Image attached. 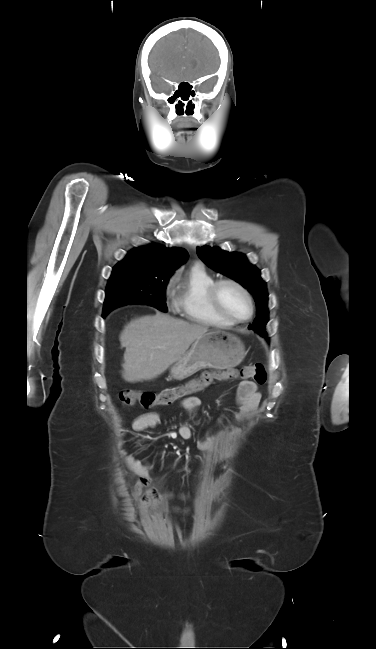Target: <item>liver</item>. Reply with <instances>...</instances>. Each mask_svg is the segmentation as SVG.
Returning <instances> with one entry per match:
<instances>
[{
  "label": "liver",
  "instance_id": "liver-1",
  "mask_svg": "<svg viewBox=\"0 0 376 649\" xmlns=\"http://www.w3.org/2000/svg\"><path fill=\"white\" fill-rule=\"evenodd\" d=\"M208 327L156 313L136 318L120 334L125 347L122 377L136 383L152 380L179 360Z\"/></svg>",
  "mask_w": 376,
  "mask_h": 649
}]
</instances>
